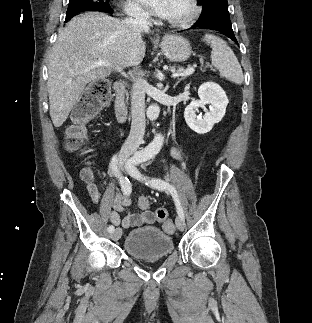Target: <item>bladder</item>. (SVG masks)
Listing matches in <instances>:
<instances>
[{"mask_svg":"<svg viewBox=\"0 0 312 323\" xmlns=\"http://www.w3.org/2000/svg\"><path fill=\"white\" fill-rule=\"evenodd\" d=\"M124 242L126 252L138 259L165 258L173 250V238L153 226L131 230Z\"/></svg>","mask_w":312,"mask_h":323,"instance_id":"1","label":"bladder"}]
</instances>
